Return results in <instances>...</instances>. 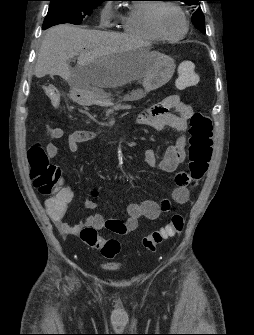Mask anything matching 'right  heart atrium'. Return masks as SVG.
Wrapping results in <instances>:
<instances>
[{"mask_svg": "<svg viewBox=\"0 0 254 335\" xmlns=\"http://www.w3.org/2000/svg\"><path fill=\"white\" fill-rule=\"evenodd\" d=\"M114 16V10L110 3H106L101 10V20L104 24H107L109 20Z\"/></svg>", "mask_w": 254, "mask_h": 335, "instance_id": "right-heart-atrium-1", "label": "right heart atrium"}]
</instances>
